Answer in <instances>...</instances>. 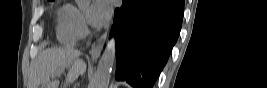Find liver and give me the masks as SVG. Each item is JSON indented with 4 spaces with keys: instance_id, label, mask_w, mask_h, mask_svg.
Returning <instances> with one entry per match:
<instances>
[{
    "instance_id": "obj_1",
    "label": "liver",
    "mask_w": 267,
    "mask_h": 88,
    "mask_svg": "<svg viewBox=\"0 0 267 88\" xmlns=\"http://www.w3.org/2000/svg\"><path fill=\"white\" fill-rule=\"evenodd\" d=\"M81 53L72 48L60 47L44 50L34 61L29 78L28 88H58L54 79L69 67L67 81L72 82L85 73L87 65L80 59Z\"/></svg>"
}]
</instances>
